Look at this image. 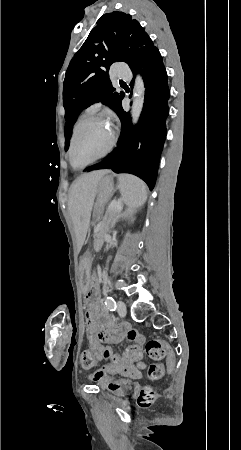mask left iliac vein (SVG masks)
I'll return each mask as SVG.
<instances>
[{"instance_id":"obj_1","label":"left iliac vein","mask_w":241,"mask_h":450,"mask_svg":"<svg viewBox=\"0 0 241 450\" xmlns=\"http://www.w3.org/2000/svg\"><path fill=\"white\" fill-rule=\"evenodd\" d=\"M117 312L120 316H125L126 315V305L123 301H118L117 304Z\"/></svg>"}]
</instances>
